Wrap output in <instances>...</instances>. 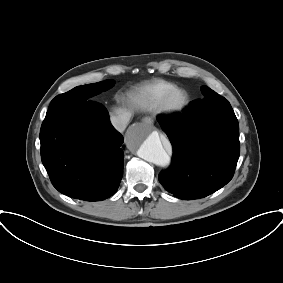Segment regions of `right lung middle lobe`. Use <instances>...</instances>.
<instances>
[{"mask_svg": "<svg viewBox=\"0 0 283 283\" xmlns=\"http://www.w3.org/2000/svg\"><path fill=\"white\" fill-rule=\"evenodd\" d=\"M113 80H106L94 84L83 85L73 88L72 90L56 96L50 103V107L57 103L86 101L89 98L111 88L114 85Z\"/></svg>", "mask_w": 283, "mask_h": 283, "instance_id": "right-lung-middle-lobe-1", "label": "right lung middle lobe"}]
</instances>
